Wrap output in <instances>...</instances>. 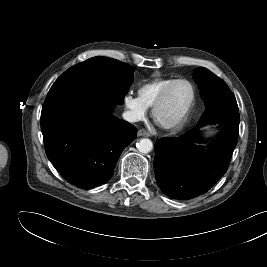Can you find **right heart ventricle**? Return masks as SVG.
Here are the masks:
<instances>
[{
    "instance_id": "e07e8e85",
    "label": "right heart ventricle",
    "mask_w": 267,
    "mask_h": 267,
    "mask_svg": "<svg viewBox=\"0 0 267 267\" xmlns=\"http://www.w3.org/2000/svg\"><path fill=\"white\" fill-rule=\"evenodd\" d=\"M177 80L176 78H154L148 82L143 83L138 88V96L143 103L150 107L154 103L160 92L170 83Z\"/></svg>"
}]
</instances>
